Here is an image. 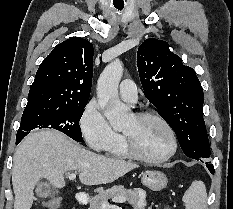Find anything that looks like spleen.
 Segmentation results:
<instances>
[{"label": "spleen", "mask_w": 233, "mask_h": 209, "mask_svg": "<svg viewBox=\"0 0 233 209\" xmlns=\"http://www.w3.org/2000/svg\"><path fill=\"white\" fill-rule=\"evenodd\" d=\"M185 209H206L207 192L204 182H193L183 196Z\"/></svg>", "instance_id": "1"}]
</instances>
